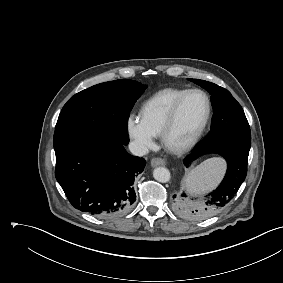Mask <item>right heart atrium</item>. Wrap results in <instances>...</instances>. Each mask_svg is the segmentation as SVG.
<instances>
[{"instance_id":"1","label":"right heart atrium","mask_w":283,"mask_h":283,"mask_svg":"<svg viewBox=\"0 0 283 283\" xmlns=\"http://www.w3.org/2000/svg\"><path fill=\"white\" fill-rule=\"evenodd\" d=\"M126 129L138 153H144L153 146L154 135L145 128L139 118L129 116L126 121Z\"/></svg>"}]
</instances>
